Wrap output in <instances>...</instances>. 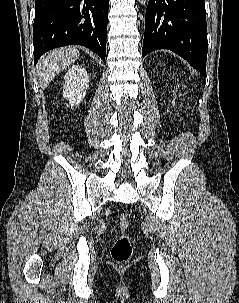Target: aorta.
<instances>
[{
    "label": "aorta",
    "instance_id": "aorta-1",
    "mask_svg": "<svg viewBox=\"0 0 239 303\" xmlns=\"http://www.w3.org/2000/svg\"><path fill=\"white\" fill-rule=\"evenodd\" d=\"M139 2L143 5H145L148 2V0H139Z\"/></svg>",
    "mask_w": 239,
    "mask_h": 303
}]
</instances>
